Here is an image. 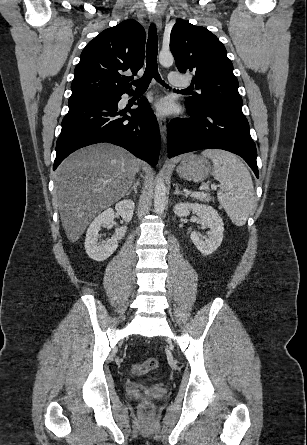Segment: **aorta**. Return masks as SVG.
I'll list each match as a JSON object with an SVG mask.
<instances>
[{"instance_id": "762f6f07", "label": "aorta", "mask_w": 307, "mask_h": 445, "mask_svg": "<svg viewBox=\"0 0 307 445\" xmlns=\"http://www.w3.org/2000/svg\"><path fill=\"white\" fill-rule=\"evenodd\" d=\"M159 62L162 66H172L174 56L170 50H160ZM166 192L167 188L163 178H157L154 190V208L157 214H162L166 206Z\"/></svg>"}]
</instances>
